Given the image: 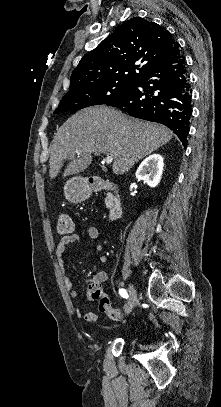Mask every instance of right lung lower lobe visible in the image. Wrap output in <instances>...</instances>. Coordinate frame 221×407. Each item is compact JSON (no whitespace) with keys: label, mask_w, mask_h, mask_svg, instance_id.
Here are the masks:
<instances>
[{"label":"right lung lower lobe","mask_w":221,"mask_h":407,"mask_svg":"<svg viewBox=\"0 0 221 407\" xmlns=\"http://www.w3.org/2000/svg\"><path fill=\"white\" fill-rule=\"evenodd\" d=\"M106 105L167 126L186 147L192 115L191 89L180 46L169 58L142 74L130 92Z\"/></svg>","instance_id":"1"}]
</instances>
